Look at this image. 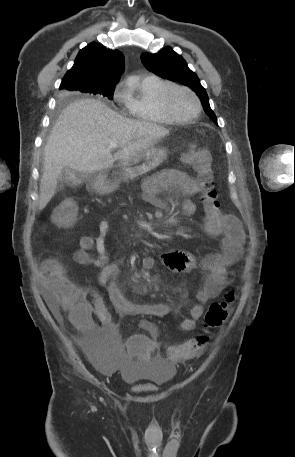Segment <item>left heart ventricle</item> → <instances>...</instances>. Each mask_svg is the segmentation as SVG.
I'll use <instances>...</instances> for the list:
<instances>
[{
	"label": "left heart ventricle",
	"instance_id": "left-heart-ventricle-1",
	"mask_svg": "<svg viewBox=\"0 0 295 457\" xmlns=\"http://www.w3.org/2000/svg\"><path fill=\"white\" fill-rule=\"evenodd\" d=\"M173 113L179 117H190L195 113V101L189 93L183 90H173L168 98Z\"/></svg>",
	"mask_w": 295,
	"mask_h": 457
}]
</instances>
